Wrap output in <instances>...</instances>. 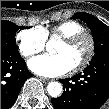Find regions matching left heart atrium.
Returning a JSON list of instances; mask_svg holds the SVG:
<instances>
[{"label":"left heart atrium","instance_id":"obj_1","mask_svg":"<svg viewBox=\"0 0 109 109\" xmlns=\"http://www.w3.org/2000/svg\"><path fill=\"white\" fill-rule=\"evenodd\" d=\"M72 63L65 55H40L29 61V68L42 76L58 77L69 73L73 69Z\"/></svg>","mask_w":109,"mask_h":109}]
</instances>
